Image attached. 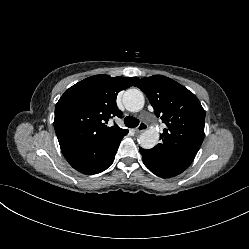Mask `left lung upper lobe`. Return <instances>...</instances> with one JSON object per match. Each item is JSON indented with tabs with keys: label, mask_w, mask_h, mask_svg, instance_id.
<instances>
[{
	"label": "left lung upper lobe",
	"mask_w": 249,
	"mask_h": 249,
	"mask_svg": "<svg viewBox=\"0 0 249 249\" xmlns=\"http://www.w3.org/2000/svg\"><path fill=\"white\" fill-rule=\"evenodd\" d=\"M134 86L148 97L157 117L166 124L153 153L193 161L204 138L205 111L198 98L176 81L154 75Z\"/></svg>",
	"instance_id": "1"
}]
</instances>
